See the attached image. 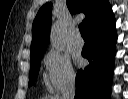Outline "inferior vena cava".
<instances>
[{"mask_svg": "<svg viewBox=\"0 0 128 99\" xmlns=\"http://www.w3.org/2000/svg\"><path fill=\"white\" fill-rule=\"evenodd\" d=\"M74 95H75V79L71 78L67 82V84L62 92L61 99H74Z\"/></svg>", "mask_w": 128, "mask_h": 99, "instance_id": "1", "label": "inferior vena cava"}]
</instances>
